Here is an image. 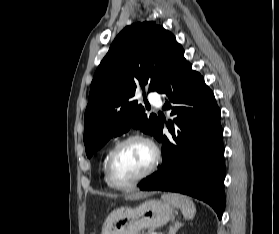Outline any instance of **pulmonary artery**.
I'll return each mask as SVG.
<instances>
[{
    "mask_svg": "<svg viewBox=\"0 0 279 234\" xmlns=\"http://www.w3.org/2000/svg\"><path fill=\"white\" fill-rule=\"evenodd\" d=\"M148 98L156 107L160 108L162 106V101L158 94H149Z\"/></svg>",
    "mask_w": 279,
    "mask_h": 234,
    "instance_id": "pulmonary-artery-1",
    "label": "pulmonary artery"
}]
</instances>
